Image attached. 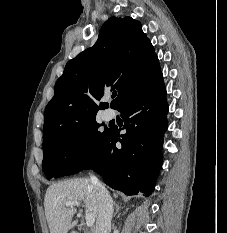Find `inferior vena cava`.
Listing matches in <instances>:
<instances>
[{
  "mask_svg": "<svg viewBox=\"0 0 227 233\" xmlns=\"http://www.w3.org/2000/svg\"><path fill=\"white\" fill-rule=\"evenodd\" d=\"M98 198V217L95 233H110L113 215V201L104 185L94 175L90 177Z\"/></svg>",
  "mask_w": 227,
  "mask_h": 233,
  "instance_id": "inferior-vena-cava-1",
  "label": "inferior vena cava"
}]
</instances>
